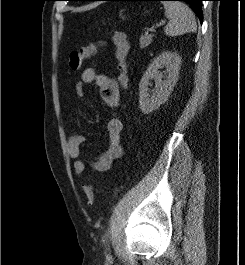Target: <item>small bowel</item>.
<instances>
[{"instance_id": "obj_1", "label": "small bowel", "mask_w": 245, "mask_h": 265, "mask_svg": "<svg viewBox=\"0 0 245 265\" xmlns=\"http://www.w3.org/2000/svg\"><path fill=\"white\" fill-rule=\"evenodd\" d=\"M85 84H94L99 88L101 98L111 108H116L120 104V85L118 81L106 74L98 73L95 67L86 68L81 80L75 85V93L78 97L85 96ZM123 123L117 116L112 117L107 125L108 139L105 152L100 154L91 162L94 171L104 172L108 170L112 162L122 154L121 134ZM85 137L78 133H73L67 140V151L73 160V170L76 175H81L85 170V163L79 159L80 146L84 143Z\"/></svg>"}]
</instances>
